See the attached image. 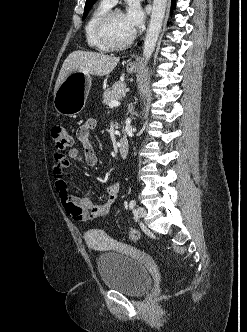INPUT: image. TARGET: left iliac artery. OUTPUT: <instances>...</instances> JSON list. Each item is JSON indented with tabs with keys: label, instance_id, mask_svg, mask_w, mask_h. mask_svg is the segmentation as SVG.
Segmentation results:
<instances>
[{
	"label": "left iliac artery",
	"instance_id": "obj_1",
	"mask_svg": "<svg viewBox=\"0 0 247 332\" xmlns=\"http://www.w3.org/2000/svg\"><path fill=\"white\" fill-rule=\"evenodd\" d=\"M135 205H136L135 200H131L130 203H129V208L134 209Z\"/></svg>",
	"mask_w": 247,
	"mask_h": 332
}]
</instances>
